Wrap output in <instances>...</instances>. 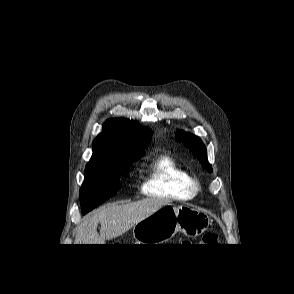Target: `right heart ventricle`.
I'll return each mask as SVG.
<instances>
[{
    "label": "right heart ventricle",
    "instance_id": "obj_1",
    "mask_svg": "<svg viewBox=\"0 0 294 294\" xmlns=\"http://www.w3.org/2000/svg\"><path fill=\"white\" fill-rule=\"evenodd\" d=\"M190 174L170 155L156 157L142 177L140 193L161 198H181L191 195Z\"/></svg>",
    "mask_w": 294,
    "mask_h": 294
}]
</instances>
